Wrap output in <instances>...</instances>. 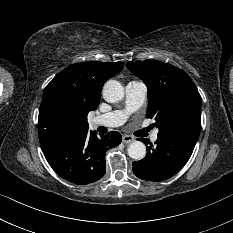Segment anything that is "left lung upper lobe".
Returning a JSON list of instances; mask_svg holds the SVG:
<instances>
[{"label":"left lung upper lobe","instance_id":"obj_1","mask_svg":"<svg viewBox=\"0 0 233 233\" xmlns=\"http://www.w3.org/2000/svg\"><path fill=\"white\" fill-rule=\"evenodd\" d=\"M127 68L148 88L147 118H154L158 135L201 130V97L181 69L160 61L128 62Z\"/></svg>","mask_w":233,"mask_h":233}]
</instances>
